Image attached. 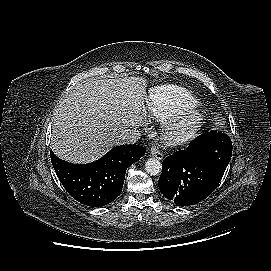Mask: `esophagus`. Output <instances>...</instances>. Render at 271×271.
Here are the masks:
<instances>
[{
  "label": "esophagus",
  "instance_id": "1",
  "mask_svg": "<svg viewBox=\"0 0 271 271\" xmlns=\"http://www.w3.org/2000/svg\"><path fill=\"white\" fill-rule=\"evenodd\" d=\"M151 155L158 160L163 159L164 156L161 150H159L156 146L151 147Z\"/></svg>",
  "mask_w": 271,
  "mask_h": 271
}]
</instances>
